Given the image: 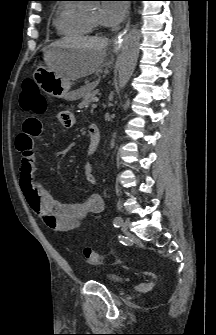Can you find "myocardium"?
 Returning a JSON list of instances; mask_svg holds the SVG:
<instances>
[{"instance_id":"1","label":"myocardium","mask_w":216,"mask_h":335,"mask_svg":"<svg viewBox=\"0 0 216 335\" xmlns=\"http://www.w3.org/2000/svg\"><path fill=\"white\" fill-rule=\"evenodd\" d=\"M88 22L90 23V25L93 28H98L99 27V23L96 21H93L88 15H86Z\"/></svg>"}]
</instances>
